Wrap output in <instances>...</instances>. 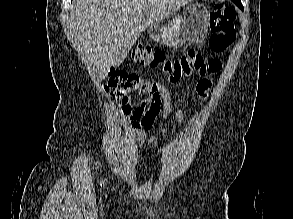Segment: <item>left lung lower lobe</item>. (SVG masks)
I'll list each match as a JSON object with an SVG mask.
<instances>
[{"mask_svg":"<svg viewBox=\"0 0 293 219\" xmlns=\"http://www.w3.org/2000/svg\"><path fill=\"white\" fill-rule=\"evenodd\" d=\"M238 7H240L241 9H243V6L241 3L236 4Z\"/></svg>","mask_w":293,"mask_h":219,"instance_id":"1","label":"left lung lower lobe"}]
</instances>
